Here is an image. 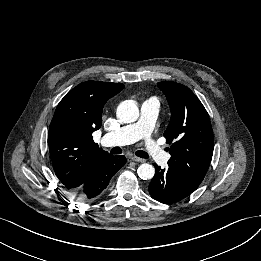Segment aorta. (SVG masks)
<instances>
[{
  "instance_id": "1",
  "label": "aorta",
  "mask_w": 261,
  "mask_h": 261,
  "mask_svg": "<svg viewBox=\"0 0 261 261\" xmlns=\"http://www.w3.org/2000/svg\"><path fill=\"white\" fill-rule=\"evenodd\" d=\"M117 118L123 123L135 122L139 117V109L133 100L121 102L117 108ZM138 176L143 180L152 179L155 169L151 164L144 163L137 169Z\"/></svg>"
}]
</instances>
